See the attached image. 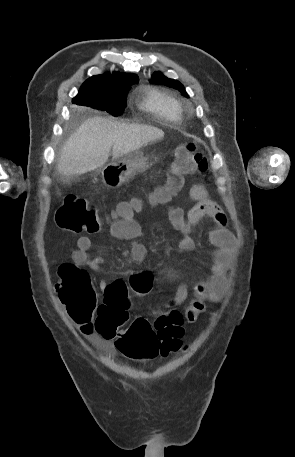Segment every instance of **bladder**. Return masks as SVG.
Returning <instances> with one entry per match:
<instances>
[{
    "mask_svg": "<svg viewBox=\"0 0 295 457\" xmlns=\"http://www.w3.org/2000/svg\"><path fill=\"white\" fill-rule=\"evenodd\" d=\"M88 345L89 347H104L105 340L104 338H89Z\"/></svg>",
    "mask_w": 295,
    "mask_h": 457,
    "instance_id": "31cf9c89",
    "label": "bladder"
}]
</instances>
